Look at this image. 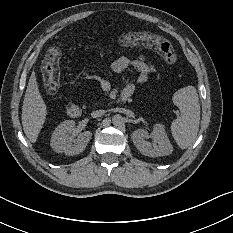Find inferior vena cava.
<instances>
[{"mask_svg": "<svg viewBox=\"0 0 233 233\" xmlns=\"http://www.w3.org/2000/svg\"><path fill=\"white\" fill-rule=\"evenodd\" d=\"M104 114H105V110H103V109L95 110V111H92V112H91V116H92L93 118L101 117V116H103Z\"/></svg>", "mask_w": 233, "mask_h": 233, "instance_id": "602c4592", "label": "inferior vena cava"}]
</instances>
